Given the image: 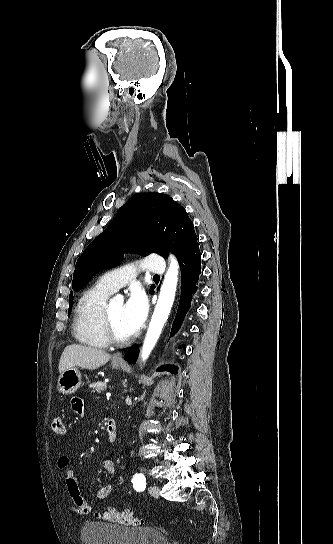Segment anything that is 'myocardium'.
<instances>
[{
	"label": "myocardium",
	"instance_id": "f54148a6",
	"mask_svg": "<svg viewBox=\"0 0 333 544\" xmlns=\"http://www.w3.org/2000/svg\"><path fill=\"white\" fill-rule=\"evenodd\" d=\"M103 326H104L106 337L110 343L121 345V344L129 343L133 339V335L120 336L116 332L111 316H110L109 304H106L103 311Z\"/></svg>",
	"mask_w": 333,
	"mask_h": 544
}]
</instances>
